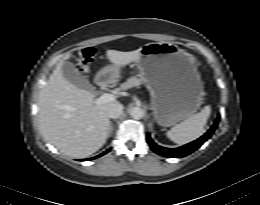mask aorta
<instances>
[{
    "label": "aorta",
    "instance_id": "762f6f07",
    "mask_svg": "<svg viewBox=\"0 0 260 205\" xmlns=\"http://www.w3.org/2000/svg\"><path fill=\"white\" fill-rule=\"evenodd\" d=\"M132 118L139 120L144 116V110L140 107H133L129 110Z\"/></svg>",
    "mask_w": 260,
    "mask_h": 205
}]
</instances>
